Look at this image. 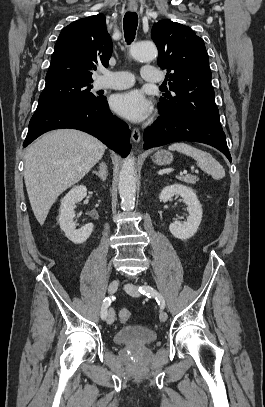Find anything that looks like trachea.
Wrapping results in <instances>:
<instances>
[{
  "instance_id": "3493384b",
  "label": "trachea",
  "mask_w": 265,
  "mask_h": 407,
  "mask_svg": "<svg viewBox=\"0 0 265 407\" xmlns=\"http://www.w3.org/2000/svg\"><path fill=\"white\" fill-rule=\"evenodd\" d=\"M124 36L128 43H131L136 35V29L138 26V17L135 12H127L123 19Z\"/></svg>"
}]
</instances>
